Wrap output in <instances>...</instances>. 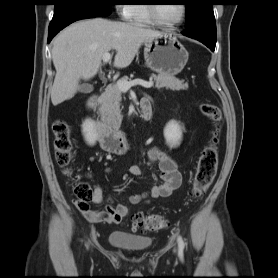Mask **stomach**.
Wrapping results in <instances>:
<instances>
[{"label": "stomach", "mask_w": 278, "mask_h": 278, "mask_svg": "<svg viewBox=\"0 0 278 278\" xmlns=\"http://www.w3.org/2000/svg\"><path fill=\"white\" fill-rule=\"evenodd\" d=\"M185 47L171 34H162L144 42L146 65L159 74L177 75L188 61Z\"/></svg>", "instance_id": "1"}]
</instances>
